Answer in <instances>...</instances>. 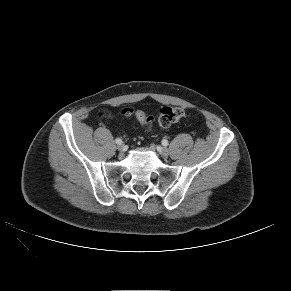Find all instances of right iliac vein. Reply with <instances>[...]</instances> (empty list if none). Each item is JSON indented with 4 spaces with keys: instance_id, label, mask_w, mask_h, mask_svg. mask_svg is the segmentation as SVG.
<instances>
[{
    "instance_id": "right-iliac-vein-1",
    "label": "right iliac vein",
    "mask_w": 291,
    "mask_h": 291,
    "mask_svg": "<svg viewBox=\"0 0 291 291\" xmlns=\"http://www.w3.org/2000/svg\"><path fill=\"white\" fill-rule=\"evenodd\" d=\"M117 149L119 150V151H122L123 149H124V145L121 143V144H118L117 145Z\"/></svg>"
}]
</instances>
